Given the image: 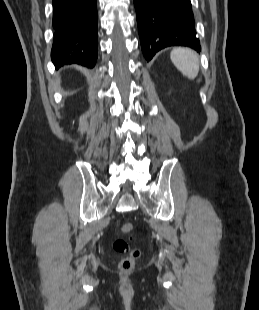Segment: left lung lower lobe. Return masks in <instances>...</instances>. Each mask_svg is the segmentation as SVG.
<instances>
[{"label": "left lung lower lobe", "mask_w": 259, "mask_h": 310, "mask_svg": "<svg viewBox=\"0 0 259 310\" xmlns=\"http://www.w3.org/2000/svg\"><path fill=\"white\" fill-rule=\"evenodd\" d=\"M141 48L147 61L168 46L200 51L190 0H134Z\"/></svg>", "instance_id": "obj_1"}]
</instances>
